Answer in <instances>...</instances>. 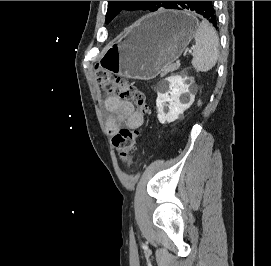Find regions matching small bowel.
<instances>
[{"instance_id": "small-bowel-1", "label": "small bowel", "mask_w": 271, "mask_h": 266, "mask_svg": "<svg viewBox=\"0 0 271 266\" xmlns=\"http://www.w3.org/2000/svg\"><path fill=\"white\" fill-rule=\"evenodd\" d=\"M104 107L110 114L107 120V129L111 134L115 133L121 125L136 130L144 122L143 115L134 108L131 102L117 96H108L104 101Z\"/></svg>"}]
</instances>
